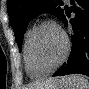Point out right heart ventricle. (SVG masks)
<instances>
[{"mask_svg": "<svg viewBox=\"0 0 89 89\" xmlns=\"http://www.w3.org/2000/svg\"><path fill=\"white\" fill-rule=\"evenodd\" d=\"M32 32H33V28H29L28 31L26 32L25 39H24L23 58H24L25 70L26 73L31 78H40L44 76V74L40 73L32 66L30 56H29V40Z\"/></svg>", "mask_w": 89, "mask_h": 89, "instance_id": "obj_1", "label": "right heart ventricle"}]
</instances>
